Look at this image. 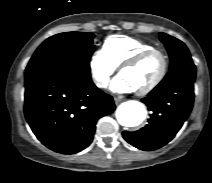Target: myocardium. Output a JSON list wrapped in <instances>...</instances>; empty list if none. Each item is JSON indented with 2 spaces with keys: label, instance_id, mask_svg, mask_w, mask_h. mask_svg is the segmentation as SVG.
Wrapping results in <instances>:
<instances>
[{
  "label": "myocardium",
  "instance_id": "f54148a6",
  "mask_svg": "<svg viewBox=\"0 0 212 183\" xmlns=\"http://www.w3.org/2000/svg\"><path fill=\"white\" fill-rule=\"evenodd\" d=\"M155 54L159 55L162 59L161 70H160L158 76L154 79V81L152 83H150L149 85H147L146 87H144L142 89L135 90L137 95L149 94L150 92L155 90L161 84V82L164 80V78L167 74V71H168V67H169V59H168L167 54L163 50L158 49V48L148 49V50H145V51L137 54L136 56L132 57L131 59L127 60L120 66L119 73L121 74L124 70L130 69V68H133V67L139 65L145 59H147L148 57L155 55Z\"/></svg>",
  "mask_w": 212,
  "mask_h": 183
}]
</instances>
